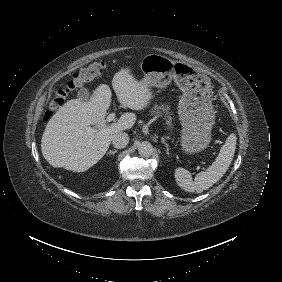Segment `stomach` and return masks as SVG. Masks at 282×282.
<instances>
[{"instance_id":"stomach-1","label":"stomach","mask_w":282,"mask_h":282,"mask_svg":"<svg viewBox=\"0 0 282 282\" xmlns=\"http://www.w3.org/2000/svg\"><path fill=\"white\" fill-rule=\"evenodd\" d=\"M144 78L149 87H167L172 80L182 90L178 103L181 121V145L186 153L194 154L208 147L215 123V111L210 99V78L189 64L171 60L159 54H148L140 63Z\"/></svg>"}]
</instances>
